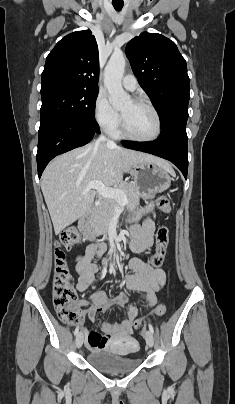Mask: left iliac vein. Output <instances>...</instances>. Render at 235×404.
Masks as SVG:
<instances>
[{
    "mask_svg": "<svg viewBox=\"0 0 235 404\" xmlns=\"http://www.w3.org/2000/svg\"><path fill=\"white\" fill-rule=\"evenodd\" d=\"M145 340L149 347H152L154 345V337H153V334L151 333V331H146Z\"/></svg>",
    "mask_w": 235,
    "mask_h": 404,
    "instance_id": "4c4485c4",
    "label": "left iliac vein"
}]
</instances>
